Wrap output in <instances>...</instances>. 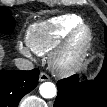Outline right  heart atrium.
<instances>
[{"instance_id": "d8ad5b80", "label": "right heart atrium", "mask_w": 107, "mask_h": 107, "mask_svg": "<svg viewBox=\"0 0 107 107\" xmlns=\"http://www.w3.org/2000/svg\"><path fill=\"white\" fill-rule=\"evenodd\" d=\"M19 49L23 54H25L27 56L31 55L29 48L24 46L23 44H19Z\"/></svg>"}]
</instances>
